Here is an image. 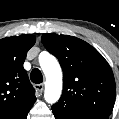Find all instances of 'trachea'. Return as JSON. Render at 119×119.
Segmentation results:
<instances>
[{
  "mask_svg": "<svg viewBox=\"0 0 119 119\" xmlns=\"http://www.w3.org/2000/svg\"><path fill=\"white\" fill-rule=\"evenodd\" d=\"M31 81L36 84L43 82V76L41 71L38 68H34L30 74Z\"/></svg>",
  "mask_w": 119,
  "mask_h": 119,
  "instance_id": "obj_1",
  "label": "trachea"
}]
</instances>
